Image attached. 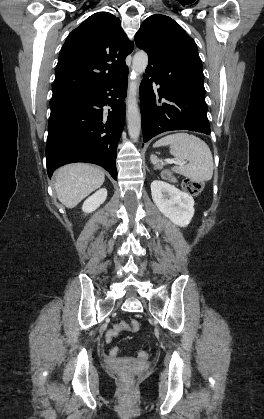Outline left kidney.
Returning a JSON list of instances; mask_svg holds the SVG:
<instances>
[{
	"instance_id": "obj_1",
	"label": "left kidney",
	"mask_w": 264,
	"mask_h": 419,
	"mask_svg": "<svg viewBox=\"0 0 264 419\" xmlns=\"http://www.w3.org/2000/svg\"><path fill=\"white\" fill-rule=\"evenodd\" d=\"M152 199L159 211L171 222L186 227L194 215V199L175 186L154 180L151 183Z\"/></svg>"
}]
</instances>
